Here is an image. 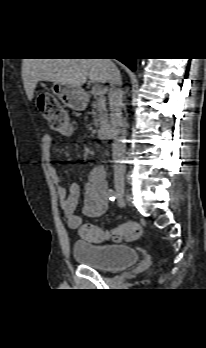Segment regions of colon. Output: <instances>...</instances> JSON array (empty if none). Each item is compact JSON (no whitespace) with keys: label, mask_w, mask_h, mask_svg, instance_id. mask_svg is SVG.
I'll use <instances>...</instances> for the list:
<instances>
[{"label":"colon","mask_w":206,"mask_h":348,"mask_svg":"<svg viewBox=\"0 0 206 348\" xmlns=\"http://www.w3.org/2000/svg\"><path fill=\"white\" fill-rule=\"evenodd\" d=\"M37 106L43 117L49 122L51 129L61 134L72 131L70 119L58 99L49 93L37 96ZM80 236L91 242H100L111 239L119 242L123 239L136 240L142 234V227L136 222H125L109 231L92 224H83L79 228Z\"/></svg>","instance_id":"5ec220e1"}]
</instances>
